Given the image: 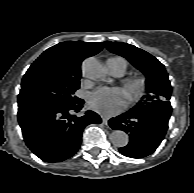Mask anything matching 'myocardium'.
Wrapping results in <instances>:
<instances>
[{
  "label": "myocardium",
  "instance_id": "1",
  "mask_svg": "<svg viewBox=\"0 0 194 193\" xmlns=\"http://www.w3.org/2000/svg\"><path fill=\"white\" fill-rule=\"evenodd\" d=\"M130 103L137 102L146 92L147 80L143 76L129 78L124 83Z\"/></svg>",
  "mask_w": 194,
  "mask_h": 193
}]
</instances>
